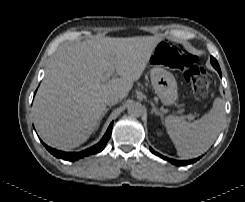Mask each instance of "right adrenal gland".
I'll return each instance as SVG.
<instances>
[{"instance_id":"1","label":"right adrenal gland","mask_w":245,"mask_h":202,"mask_svg":"<svg viewBox=\"0 0 245 202\" xmlns=\"http://www.w3.org/2000/svg\"><path fill=\"white\" fill-rule=\"evenodd\" d=\"M109 109H110V107H108V108L105 109V112L103 113L102 118H103V117L105 116V114L109 111ZM102 118H101V119H102Z\"/></svg>"}]
</instances>
